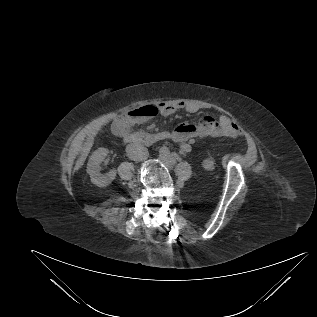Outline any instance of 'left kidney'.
<instances>
[{
    "label": "left kidney",
    "instance_id": "obj_1",
    "mask_svg": "<svg viewBox=\"0 0 317 317\" xmlns=\"http://www.w3.org/2000/svg\"><path fill=\"white\" fill-rule=\"evenodd\" d=\"M202 167L205 170H213L214 169V160L212 157L206 158L202 162Z\"/></svg>",
    "mask_w": 317,
    "mask_h": 317
}]
</instances>
